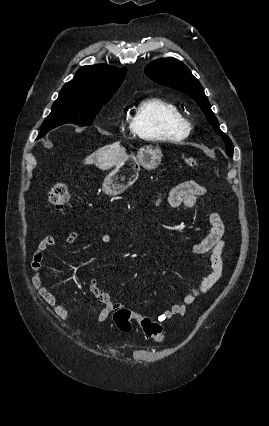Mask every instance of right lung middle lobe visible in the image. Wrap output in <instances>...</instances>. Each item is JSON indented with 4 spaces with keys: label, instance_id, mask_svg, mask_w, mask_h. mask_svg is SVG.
<instances>
[{
    "label": "right lung middle lobe",
    "instance_id": "right-lung-middle-lobe-1",
    "mask_svg": "<svg viewBox=\"0 0 269 426\" xmlns=\"http://www.w3.org/2000/svg\"><path fill=\"white\" fill-rule=\"evenodd\" d=\"M110 97H89L81 94L59 93L54 102L51 113L43 121L38 138L48 131L66 123L91 125Z\"/></svg>",
    "mask_w": 269,
    "mask_h": 426
}]
</instances>
